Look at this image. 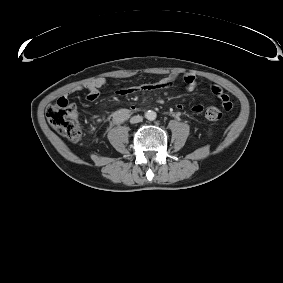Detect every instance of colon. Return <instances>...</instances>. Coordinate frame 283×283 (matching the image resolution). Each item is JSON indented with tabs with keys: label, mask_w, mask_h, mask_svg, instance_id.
Here are the masks:
<instances>
[{
	"label": "colon",
	"mask_w": 283,
	"mask_h": 283,
	"mask_svg": "<svg viewBox=\"0 0 283 283\" xmlns=\"http://www.w3.org/2000/svg\"><path fill=\"white\" fill-rule=\"evenodd\" d=\"M223 116L220 108L211 106L205 111L209 121H219ZM46 117L50 125L63 137L71 142H78L81 138V126L75 115V105L66 97H60L48 107Z\"/></svg>",
	"instance_id": "1"
}]
</instances>
